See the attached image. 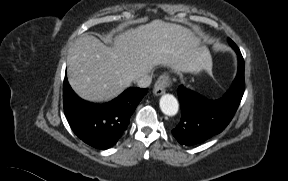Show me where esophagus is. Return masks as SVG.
Wrapping results in <instances>:
<instances>
[{
  "label": "esophagus",
  "mask_w": 288,
  "mask_h": 181,
  "mask_svg": "<svg viewBox=\"0 0 288 181\" xmlns=\"http://www.w3.org/2000/svg\"><path fill=\"white\" fill-rule=\"evenodd\" d=\"M172 83L167 74L161 75L158 80L156 81L154 88H153V93L156 96H160L165 93L166 89L171 87Z\"/></svg>",
  "instance_id": "34e87169"
}]
</instances>
